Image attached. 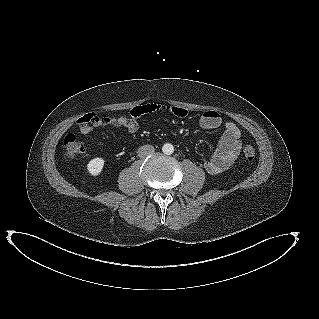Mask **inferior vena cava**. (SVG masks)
<instances>
[{"instance_id": "602c4592", "label": "inferior vena cava", "mask_w": 319, "mask_h": 319, "mask_svg": "<svg viewBox=\"0 0 319 319\" xmlns=\"http://www.w3.org/2000/svg\"><path fill=\"white\" fill-rule=\"evenodd\" d=\"M155 152V148L152 145H143L138 149V156L144 158Z\"/></svg>"}]
</instances>
